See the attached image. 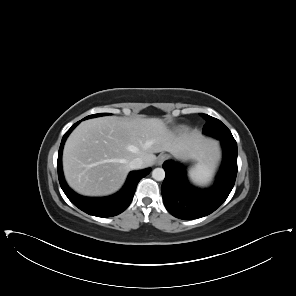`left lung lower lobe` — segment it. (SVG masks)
<instances>
[{"label":"left lung lower lobe","instance_id":"obj_1","mask_svg":"<svg viewBox=\"0 0 296 296\" xmlns=\"http://www.w3.org/2000/svg\"><path fill=\"white\" fill-rule=\"evenodd\" d=\"M223 163L213 187L197 189L189 185L185 170L173 161H166V177L161 192L166 209L180 219H196L215 211L230 194L237 175V143L221 140Z\"/></svg>","mask_w":296,"mask_h":296}]
</instances>
